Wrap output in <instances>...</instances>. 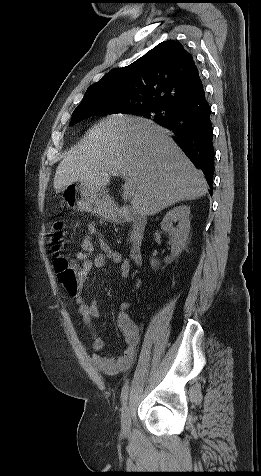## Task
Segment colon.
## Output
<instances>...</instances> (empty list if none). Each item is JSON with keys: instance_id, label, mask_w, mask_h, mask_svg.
Masks as SVG:
<instances>
[{"instance_id": "obj_1", "label": "colon", "mask_w": 261, "mask_h": 476, "mask_svg": "<svg viewBox=\"0 0 261 476\" xmlns=\"http://www.w3.org/2000/svg\"><path fill=\"white\" fill-rule=\"evenodd\" d=\"M54 241L57 243L63 236L62 224L55 225ZM54 268L57 274L58 281L68 292H75L79 285V275L77 270L70 264V262L59 253V247L55 246Z\"/></svg>"}]
</instances>
